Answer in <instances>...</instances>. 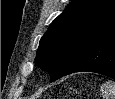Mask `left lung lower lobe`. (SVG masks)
Returning <instances> with one entry per match:
<instances>
[{"label":"left lung lower lobe","instance_id":"obj_1","mask_svg":"<svg viewBox=\"0 0 115 99\" xmlns=\"http://www.w3.org/2000/svg\"><path fill=\"white\" fill-rule=\"evenodd\" d=\"M80 71L115 79V27L94 42L63 76Z\"/></svg>","mask_w":115,"mask_h":99}]
</instances>
